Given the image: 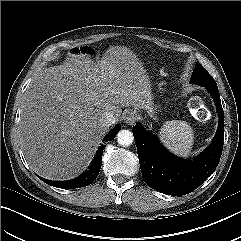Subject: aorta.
<instances>
[{"label": "aorta", "mask_w": 241, "mask_h": 241, "mask_svg": "<svg viewBox=\"0 0 241 241\" xmlns=\"http://www.w3.org/2000/svg\"><path fill=\"white\" fill-rule=\"evenodd\" d=\"M134 136L133 133L129 130H121L117 134V142L121 146H129L133 143Z\"/></svg>", "instance_id": "obj_1"}]
</instances>
